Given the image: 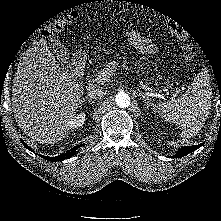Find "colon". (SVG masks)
<instances>
[{
  "mask_svg": "<svg viewBox=\"0 0 221 221\" xmlns=\"http://www.w3.org/2000/svg\"><path fill=\"white\" fill-rule=\"evenodd\" d=\"M77 18H78V13L76 11H71L69 13H66L62 15L61 18L50 23L42 31V34L43 36L49 38L55 36L60 32H62L63 30H65ZM167 28L172 34H174L181 41L182 57L189 63L193 62L196 57L197 50L193 42L190 40L186 29L175 21H168Z\"/></svg>",
  "mask_w": 221,
  "mask_h": 221,
  "instance_id": "obj_1",
  "label": "colon"
}]
</instances>
